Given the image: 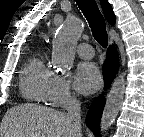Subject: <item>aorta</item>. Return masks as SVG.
<instances>
[{
    "label": "aorta",
    "instance_id": "obj_1",
    "mask_svg": "<svg viewBox=\"0 0 144 137\" xmlns=\"http://www.w3.org/2000/svg\"><path fill=\"white\" fill-rule=\"evenodd\" d=\"M82 31L83 24L79 19L73 16L66 18L53 41L52 63L55 67L66 71L72 66L75 48ZM125 85L124 74H119L107 95L100 124L102 133L108 131L121 109Z\"/></svg>",
    "mask_w": 144,
    "mask_h": 137
}]
</instances>
